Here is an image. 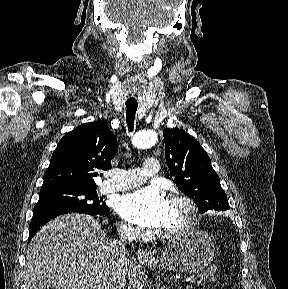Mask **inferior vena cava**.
<instances>
[{
	"instance_id": "obj_1",
	"label": "inferior vena cava",
	"mask_w": 288,
	"mask_h": 289,
	"mask_svg": "<svg viewBox=\"0 0 288 289\" xmlns=\"http://www.w3.org/2000/svg\"><path fill=\"white\" fill-rule=\"evenodd\" d=\"M118 238L110 242V260L96 276L94 289H117L127 260L126 242L137 237V230L130 225L120 224L117 228Z\"/></svg>"
}]
</instances>
